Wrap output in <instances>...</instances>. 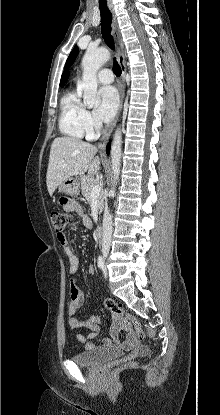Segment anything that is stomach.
I'll return each instance as SVG.
<instances>
[{
	"mask_svg": "<svg viewBox=\"0 0 220 415\" xmlns=\"http://www.w3.org/2000/svg\"><path fill=\"white\" fill-rule=\"evenodd\" d=\"M59 191L75 197L80 193V182L77 177H70L59 185Z\"/></svg>",
	"mask_w": 220,
	"mask_h": 415,
	"instance_id": "1",
	"label": "stomach"
}]
</instances>
